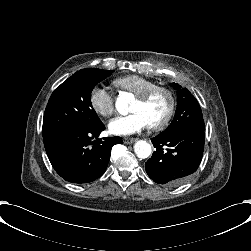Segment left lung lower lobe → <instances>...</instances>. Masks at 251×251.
Instances as JSON below:
<instances>
[{
    "mask_svg": "<svg viewBox=\"0 0 251 251\" xmlns=\"http://www.w3.org/2000/svg\"><path fill=\"white\" fill-rule=\"evenodd\" d=\"M205 130L186 128L152 138L156 148L145 163L148 176L158 184L177 186L188 179L200 165Z\"/></svg>",
    "mask_w": 251,
    "mask_h": 251,
    "instance_id": "1",
    "label": "left lung lower lobe"
}]
</instances>
